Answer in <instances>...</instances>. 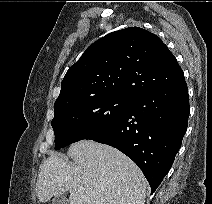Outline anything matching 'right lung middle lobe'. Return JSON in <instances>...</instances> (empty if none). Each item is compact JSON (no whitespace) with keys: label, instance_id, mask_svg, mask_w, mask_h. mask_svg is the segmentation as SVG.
<instances>
[{"label":"right lung middle lobe","instance_id":"obj_1","mask_svg":"<svg viewBox=\"0 0 212 204\" xmlns=\"http://www.w3.org/2000/svg\"><path fill=\"white\" fill-rule=\"evenodd\" d=\"M130 98L103 96L55 109L52 127L55 149L88 137L118 122L125 114Z\"/></svg>","mask_w":212,"mask_h":204}]
</instances>
